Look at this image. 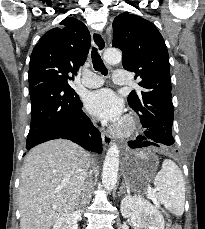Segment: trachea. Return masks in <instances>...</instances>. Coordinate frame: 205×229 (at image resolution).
<instances>
[{
	"label": "trachea",
	"mask_w": 205,
	"mask_h": 229,
	"mask_svg": "<svg viewBox=\"0 0 205 229\" xmlns=\"http://www.w3.org/2000/svg\"><path fill=\"white\" fill-rule=\"evenodd\" d=\"M91 58H92L94 69L96 71H100L103 75H107L108 71H107L100 55L98 54V52L95 48H93V50H92Z\"/></svg>",
	"instance_id": "trachea-1"
}]
</instances>
